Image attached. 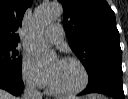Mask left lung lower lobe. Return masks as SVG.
<instances>
[{
	"label": "left lung lower lobe",
	"mask_w": 128,
	"mask_h": 99,
	"mask_svg": "<svg viewBox=\"0 0 128 99\" xmlns=\"http://www.w3.org/2000/svg\"><path fill=\"white\" fill-rule=\"evenodd\" d=\"M87 72L89 83L79 95L102 93L115 99H124L121 61L101 60Z\"/></svg>",
	"instance_id": "obj_1"
}]
</instances>
